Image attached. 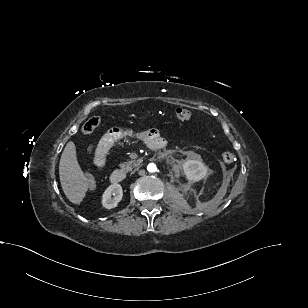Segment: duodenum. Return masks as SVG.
I'll return each mask as SVG.
<instances>
[{"mask_svg": "<svg viewBox=\"0 0 308 308\" xmlns=\"http://www.w3.org/2000/svg\"><path fill=\"white\" fill-rule=\"evenodd\" d=\"M164 146V142L163 141H154L153 143L149 144V151L150 152H157L158 150H161L162 147ZM126 178V174L123 170H114L111 175H110V181L112 183H121L125 180Z\"/></svg>", "mask_w": 308, "mask_h": 308, "instance_id": "410a0bca", "label": "duodenum"}]
</instances>
